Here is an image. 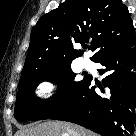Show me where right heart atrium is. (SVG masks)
<instances>
[{"label": "right heart atrium", "mask_w": 136, "mask_h": 136, "mask_svg": "<svg viewBox=\"0 0 136 136\" xmlns=\"http://www.w3.org/2000/svg\"><path fill=\"white\" fill-rule=\"evenodd\" d=\"M52 90V84L50 82H44L37 88V94L39 96H47Z\"/></svg>", "instance_id": "right-heart-atrium-1"}]
</instances>
